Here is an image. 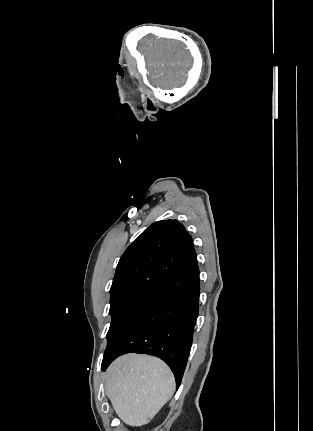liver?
<instances>
[{
  "instance_id": "1",
  "label": "liver",
  "mask_w": 313,
  "mask_h": 431,
  "mask_svg": "<svg viewBox=\"0 0 313 431\" xmlns=\"http://www.w3.org/2000/svg\"><path fill=\"white\" fill-rule=\"evenodd\" d=\"M105 386L118 417L127 425L142 426L170 400L175 381L162 360L127 354L109 366Z\"/></svg>"
}]
</instances>
